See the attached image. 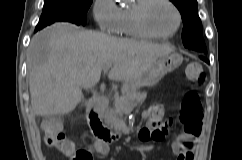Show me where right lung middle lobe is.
<instances>
[{
	"instance_id": "obj_1",
	"label": "right lung middle lobe",
	"mask_w": 242,
	"mask_h": 160,
	"mask_svg": "<svg viewBox=\"0 0 242 160\" xmlns=\"http://www.w3.org/2000/svg\"><path fill=\"white\" fill-rule=\"evenodd\" d=\"M93 0H45L38 31L56 21H67L77 25H85L86 13Z\"/></svg>"
}]
</instances>
